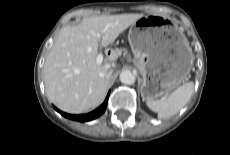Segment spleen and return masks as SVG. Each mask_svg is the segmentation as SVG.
<instances>
[{
    "instance_id": "3e777b00",
    "label": "spleen",
    "mask_w": 230,
    "mask_h": 155,
    "mask_svg": "<svg viewBox=\"0 0 230 155\" xmlns=\"http://www.w3.org/2000/svg\"><path fill=\"white\" fill-rule=\"evenodd\" d=\"M194 91L192 81L183 84L173 91L169 97H162L159 100H147L146 105L158 113L161 119L169 118L178 113L190 100Z\"/></svg>"
}]
</instances>
